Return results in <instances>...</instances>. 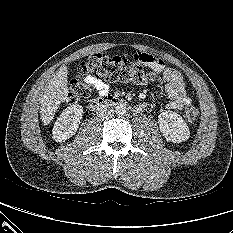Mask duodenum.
Wrapping results in <instances>:
<instances>
[{
  "instance_id": "1",
  "label": "duodenum",
  "mask_w": 233,
  "mask_h": 233,
  "mask_svg": "<svg viewBox=\"0 0 233 233\" xmlns=\"http://www.w3.org/2000/svg\"><path fill=\"white\" fill-rule=\"evenodd\" d=\"M127 102L119 97L108 95L102 98L94 99L90 102L91 110H100L106 106H123L126 105Z\"/></svg>"
}]
</instances>
